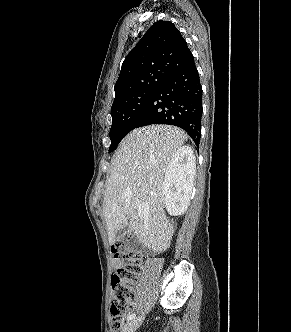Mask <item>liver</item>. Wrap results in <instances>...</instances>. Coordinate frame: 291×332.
Here are the masks:
<instances>
[{
    "label": "liver",
    "instance_id": "6515ba94",
    "mask_svg": "<svg viewBox=\"0 0 291 332\" xmlns=\"http://www.w3.org/2000/svg\"><path fill=\"white\" fill-rule=\"evenodd\" d=\"M185 141L182 130L168 125L138 128L123 139L115 152L103 202L111 245L118 228L129 226L153 252L170 247L174 227L165 214L162 187L167 167Z\"/></svg>",
    "mask_w": 291,
    "mask_h": 332
}]
</instances>
